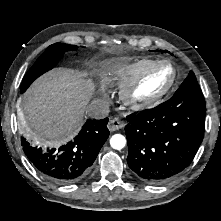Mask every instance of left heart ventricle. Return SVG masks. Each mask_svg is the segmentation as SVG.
I'll list each match as a JSON object with an SVG mask.
<instances>
[{
	"label": "left heart ventricle",
	"instance_id": "obj_1",
	"mask_svg": "<svg viewBox=\"0 0 221 221\" xmlns=\"http://www.w3.org/2000/svg\"><path fill=\"white\" fill-rule=\"evenodd\" d=\"M168 76L167 70L162 68L156 69L139 87L138 94L140 96H146L155 92L166 83Z\"/></svg>",
	"mask_w": 221,
	"mask_h": 221
}]
</instances>
